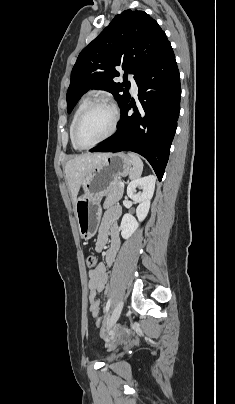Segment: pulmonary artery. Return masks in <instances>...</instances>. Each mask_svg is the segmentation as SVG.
Wrapping results in <instances>:
<instances>
[{"instance_id":"pulmonary-artery-1","label":"pulmonary artery","mask_w":235,"mask_h":404,"mask_svg":"<svg viewBox=\"0 0 235 404\" xmlns=\"http://www.w3.org/2000/svg\"><path fill=\"white\" fill-rule=\"evenodd\" d=\"M130 84H131V89H132L133 94H136L137 90H138V86H137L136 81L133 78L130 79Z\"/></svg>"}]
</instances>
